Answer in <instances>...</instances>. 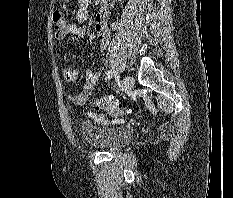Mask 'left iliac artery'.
Wrapping results in <instances>:
<instances>
[{"label":"left iliac artery","mask_w":233,"mask_h":198,"mask_svg":"<svg viewBox=\"0 0 233 198\" xmlns=\"http://www.w3.org/2000/svg\"><path fill=\"white\" fill-rule=\"evenodd\" d=\"M114 74H115V70L111 69L110 71L107 72L105 80L106 81L110 80Z\"/></svg>","instance_id":"44dca946"}]
</instances>
